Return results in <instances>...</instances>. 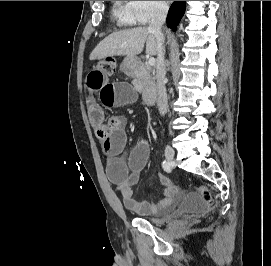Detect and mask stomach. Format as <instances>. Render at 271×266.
<instances>
[{"label": "stomach", "mask_w": 271, "mask_h": 266, "mask_svg": "<svg viewBox=\"0 0 271 266\" xmlns=\"http://www.w3.org/2000/svg\"><path fill=\"white\" fill-rule=\"evenodd\" d=\"M137 64L138 59L136 57L127 56L122 63V68L127 72H131Z\"/></svg>", "instance_id": "obj_1"}]
</instances>
